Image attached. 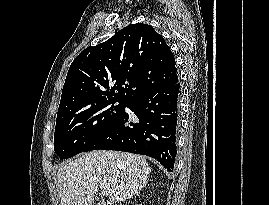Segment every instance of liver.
Segmentation results:
<instances>
[{
    "instance_id": "obj_1",
    "label": "liver",
    "mask_w": 269,
    "mask_h": 205,
    "mask_svg": "<svg viewBox=\"0 0 269 205\" xmlns=\"http://www.w3.org/2000/svg\"><path fill=\"white\" fill-rule=\"evenodd\" d=\"M151 168L145 158L96 150L62 165L57 172L61 205H92L100 189H110L109 204L132 198L146 187Z\"/></svg>"
}]
</instances>
